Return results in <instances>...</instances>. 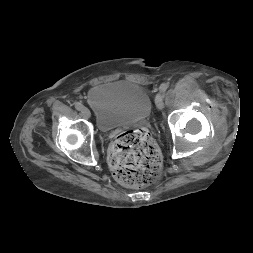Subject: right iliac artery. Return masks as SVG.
Returning <instances> with one entry per match:
<instances>
[{
	"mask_svg": "<svg viewBox=\"0 0 253 253\" xmlns=\"http://www.w3.org/2000/svg\"><path fill=\"white\" fill-rule=\"evenodd\" d=\"M74 104H75V108L79 111L84 108V106L80 102H75Z\"/></svg>",
	"mask_w": 253,
	"mask_h": 253,
	"instance_id": "right-iliac-artery-1",
	"label": "right iliac artery"
}]
</instances>
